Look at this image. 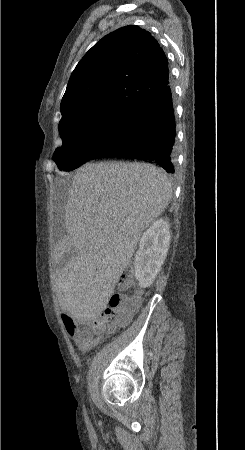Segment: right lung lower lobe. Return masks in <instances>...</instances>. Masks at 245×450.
I'll return each instance as SVG.
<instances>
[{"instance_id":"right-lung-lower-lobe-1","label":"right lung lower lobe","mask_w":245,"mask_h":450,"mask_svg":"<svg viewBox=\"0 0 245 450\" xmlns=\"http://www.w3.org/2000/svg\"><path fill=\"white\" fill-rule=\"evenodd\" d=\"M175 116L169 83L136 108L123 136L92 159L118 157L150 162L174 173Z\"/></svg>"}]
</instances>
